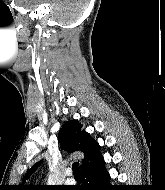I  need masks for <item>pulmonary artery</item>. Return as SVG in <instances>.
Returning a JSON list of instances; mask_svg holds the SVG:
<instances>
[{
    "mask_svg": "<svg viewBox=\"0 0 165 190\" xmlns=\"http://www.w3.org/2000/svg\"><path fill=\"white\" fill-rule=\"evenodd\" d=\"M66 175H67L66 183H67V184H72V183H74V179L71 177V175H72L71 170H67V171H66Z\"/></svg>",
    "mask_w": 165,
    "mask_h": 190,
    "instance_id": "1",
    "label": "pulmonary artery"
}]
</instances>
